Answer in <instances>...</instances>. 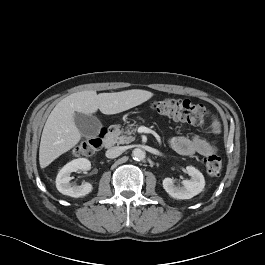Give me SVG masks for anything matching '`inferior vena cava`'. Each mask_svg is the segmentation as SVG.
Instances as JSON below:
<instances>
[{"label":"inferior vena cava","instance_id":"1","mask_svg":"<svg viewBox=\"0 0 265 265\" xmlns=\"http://www.w3.org/2000/svg\"><path fill=\"white\" fill-rule=\"evenodd\" d=\"M122 153H123L122 147H112L106 151V157L113 159L120 156Z\"/></svg>","mask_w":265,"mask_h":265}]
</instances>
